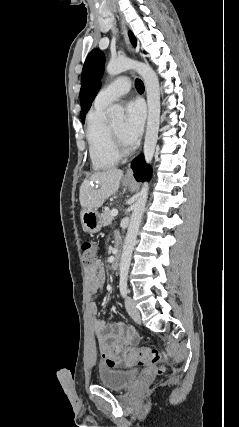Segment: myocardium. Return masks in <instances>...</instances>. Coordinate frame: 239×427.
Returning <instances> with one entry per match:
<instances>
[{
  "label": "myocardium",
  "mask_w": 239,
  "mask_h": 427,
  "mask_svg": "<svg viewBox=\"0 0 239 427\" xmlns=\"http://www.w3.org/2000/svg\"><path fill=\"white\" fill-rule=\"evenodd\" d=\"M111 140L116 154L120 157L129 155L132 152V148L124 145L119 136L116 134L114 129L110 126Z\"/></svg>",
  "instance_id": "obj_1"
}]
</instances>
